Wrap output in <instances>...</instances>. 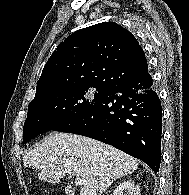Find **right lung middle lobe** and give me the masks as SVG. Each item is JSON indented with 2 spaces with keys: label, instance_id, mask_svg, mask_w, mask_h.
Instances as JSON below:
<instances>
[{
  "label": "right lung middle lobe",
  "instance_id": "obj_1",
  "mask_svg": "<svg viewBox=\"0 0 189 195\" xmlns=\"http://www.w3.org/2000/svg\"><path fill=\"white\" fill-rule=\"evenodd\" d=\"M107 92V88L79 86L57 90L36 99L28 106L23 127V144L90 109Z\"/></svg>",
  "mask_w": 189,
  "mask_h": 195
}]
</instances>
